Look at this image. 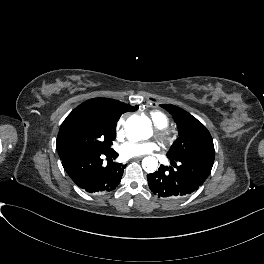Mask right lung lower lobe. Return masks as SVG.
Segmentation results:
<instances>
[{"mask_svg": "<svg viewBox=\"0 0 264 264\" xmlns=\"http://www.w3.org/2000/svg\"><path fill=\"white\" fill-rule=\"evenodd\" d=\"M125 166L121 163L107 164L75 184L91 194L112 192L120 184Z\"/></svg>", "mask_w": 264, "mask_h": 264, "instance_id": "1", "label": "right lung lower lobe"}]
</instances>
